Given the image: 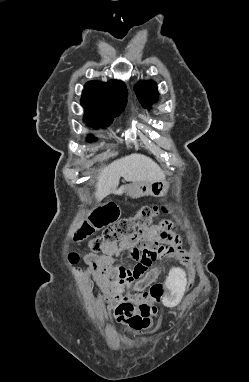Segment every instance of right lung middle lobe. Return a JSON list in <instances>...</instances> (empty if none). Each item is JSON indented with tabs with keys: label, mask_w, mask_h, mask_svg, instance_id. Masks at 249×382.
<instances>
[{
	"label": "right lung middle lobe",
	"mask_w": 249,
	"mask_h": 382,
	"mask_svg": "<svg viewBox=\"0 0 249 382\" xmlns=\"http://www.w3.org/2000/svg\"><path fill=\"white\" fill-rule=\"evenodd\" d=\"M85 120L88 124L98 126L99 124H111L113 118L118 116L123 109L119 111H107L100 108H85Z\"/></svg>",
	"instance_id": "dd1d6c3e"
}]
</instances>
